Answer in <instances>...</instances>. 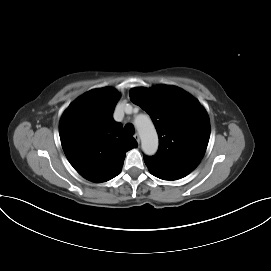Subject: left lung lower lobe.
Segmentation results:
<instances>
[{"mask_svg": "<svg viewBox=\"0 0 271 271\" xmlns=\"http://www.w3.org/2000/svg\"><path fill=\"white\" fill-rule=\"evenodd\" d=\"M144 161L150 173L163 180H177L190 173L180 168H176V167H172V166H168V165H164V164L152 161L145 156H144Z\"/></svg>", "mask_w": 271, "mask_h": 271, "instance_id": "0a47b994", "label": "left lung lower lobe"}]
</instances>
